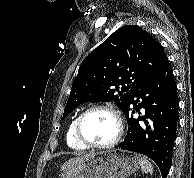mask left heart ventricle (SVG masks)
I'll return each mask as SVG.
<instances>
[{
    "label": "left heart ventricle",
    "instance_id": "obj_1",
    "mask_svg": "<svg viewBox=\"0 0 194 178\" xmlns=\"http://www.w3.org/2000/svg\"><path fill=\"white\" fill-rule=\"evenodd\" d=\"M117 131L114 117L103 110H95L87 114L81 124L82 135L95 144L111 141Z\"/></svg>",
    "mask_w": 194,
    "mask_h": 178
}]
</instances>
